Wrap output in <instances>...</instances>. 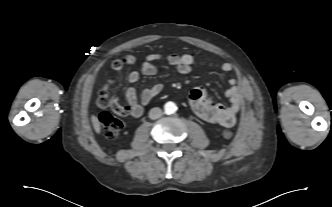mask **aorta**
I'll list each match as a JSON object with an SVG mask.
<instances>
[{
  "label": "aorta",
  "instance_id": "1",
  "mask_svg": "<svg viewBox=\"0 0 332 207\" xmlns=\"http://www.w3.org/2000/svg\"><path fill=\"white\" fill-rule=\"evenodd\" d=\"M164 110H165V113L168 114V115L173 114L177 110L176 104L173 103V102H167L164 105Z\"/></svg>",
  "mask_w": 332,
  "mask_h": 207
}]
</instances>
